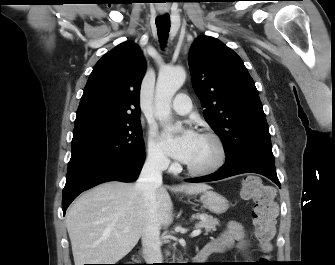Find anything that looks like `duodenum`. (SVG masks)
Returning a JSON list of instances; mask_svg holds the SVG:
<instances>
[{"label":"duodenum","instance_id":"1","mask_svg":"<svg viewBox=\"0 0 335 265\" xmlns=\"http://www.w3.org/2000/svg\"><path fill=\"white\" fill-rule=\"evenodd\" d=\"M217 249L215 247H213L210 244L205 245L202 250L197 254L195 260L197 262H203L205 260H207V258L214 252H216Z\"/></svg>","mask_w":335,"mask_h":265}]
</instances>
